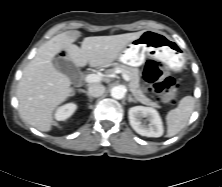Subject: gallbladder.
Returning a JSON list of instances; mask_svg holds the SVG:
<instances>
[{
	"label": "gallbladder",
	"mask_w": 222,
	"mask_h": 187,
	"mask_svg": "<svg viewBox=\"0 0 222 187\" xmlns=\"http://www.w3.org/2000/svg\"><path fill=\"white\" fill-rule=\"evenodd\" d=\"M57 68L66 75L74 84H79L82 79L80 69L68 58L58 57L56 59Z\"/></svg>",
	"instance_id": "bac80fb5"
}]
</instances>
